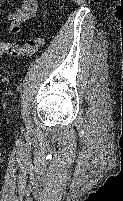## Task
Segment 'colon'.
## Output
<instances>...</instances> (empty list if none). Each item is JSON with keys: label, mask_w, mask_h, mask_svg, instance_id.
<instances>
[{"label": "colon", "mask_w": 123, "mask_h": 201, "mask_svg": "<svg viewBox=\"0 0 123 201\" xmlns=\"http://www.w3.org/2000/svg\"><path fill=\"white\" fill-rule=\"evenodd\" d=\"M44 44L41 37L29 39L23 45L15 42H0V58L4 55L12 57L31 56Z\"/></svg>", "instance_id": "1"}]
</instances>
